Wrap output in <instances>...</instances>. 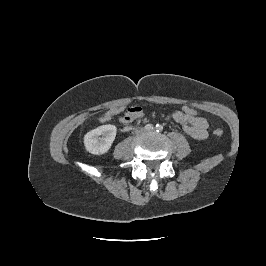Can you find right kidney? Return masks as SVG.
<instances>
[{
    "label": "right kidney",
    "mask_w": 266,
    "mask_h": 266,
    "mask_svg": "<svg viewBox=\"0 0 266 266\" xmlns=\"http://www.w3.org/2000/svg\"><path fill=\"white\" fill-rule=\"evenodd\" d=\"M115 125L107 124L91 130L84 136L86 150L94 155H101L110 149L116 137Z\"/></svg>",
    "instance_id": "right-kidney-1"
}]
</instances>
